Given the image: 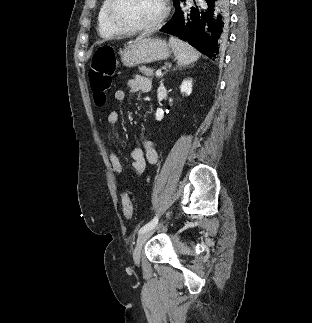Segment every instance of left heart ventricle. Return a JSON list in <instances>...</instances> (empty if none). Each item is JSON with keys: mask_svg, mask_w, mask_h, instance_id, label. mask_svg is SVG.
Returning a JSON list of instances; mask_svg holds the SVG:
<instances>
[{"mask_svg": "<svg viewBox=\"0 0 312 323\" xmlns=\"http://www.w3.org/2000/svg\"><path fill=\"white\" fill-rule=\"evenodd\" d=\"M161 0H115L114 18H124L127 22H149L154 14H162Z\"/></svg>", "mask_w": 312, "mask_h": 323, "instance_id": "b2bd125f", "label": "left heart ventricle"}]
</instances>
